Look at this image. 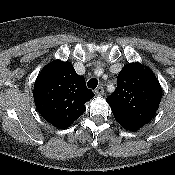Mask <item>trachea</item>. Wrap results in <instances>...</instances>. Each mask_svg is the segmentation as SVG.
<instances>
[{
	"label": "trachea",
	"instance_id": "obj_1",
	"mask_svg": "<svg viewBox=\"0 0 175 175\" xmlns=\"http://www.w3.org/2000/svg\"><path fill=\"white\" fill-rule=\"evenodd\" d=\"M97 85H98V80L96 78H91L87 83L88 88H91V89H95Z\"/></svg>",
	"mask_w": 175,
	"mask_h": 175
}]
</instances>
